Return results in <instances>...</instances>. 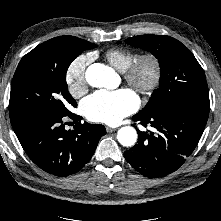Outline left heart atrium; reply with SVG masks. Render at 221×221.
Masks as SVG:
<instances>
[{"instance_id": "left-heart-atrium-1", "label": "left heart atrium", "mask_w": 221, "mask_h": 221, "mask_svg": "<svg viewBox=\"0 0 221 221\" xmlns=\"http://www.w3.org/2000/svg\"><path fill=\"white\" fill-rule=\"evenodd\" d=\"M138 106L136 93L128 88H121L94 92L83 101L82 109L89 120L112 125L134 112Z\"/></svg>"}]
</instances>
